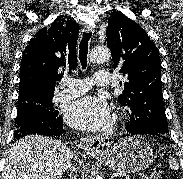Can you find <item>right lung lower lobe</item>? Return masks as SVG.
<instances>
[{
	"instance_id": "1",
	"label": "right lung lower lobe",
	"mask_w": 183,
	"mask_h": 179,
	"mask_svg": "<svg viewBox=\"0 0 183 179\" xmlns=\"http://www.w3.org/2000/svg\"><path fill=\"white\" fill-rule=\"evenodd\" d=\"M63 132V121L62 117L58 116L57 118L50 121H29L26 124L20 126L15 130L14 141L19 140L20 138L30 135V134H39L51 137H59Z\"/></svg>"
}]
</instances>
